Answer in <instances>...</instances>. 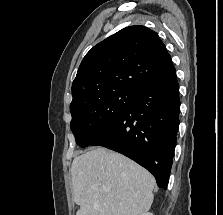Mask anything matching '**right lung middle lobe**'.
<instances>
[{"label": "right lung middle lobe", "mask_w": 223, "mask_h": 215, "mask_svg": "<svg viewBox=\"0 0 223 215\" xmlns=\"http://www.w3.org/2000/svg\"><path fill=\"white\" fill-rule=\"evenodd\" d=\"M136 93L117 90L70 109L76 143L91 145L109 131L131 105Z\"/></svg>", "instance_id": "right-lung-middle-lobe-1"}]
</instances>
